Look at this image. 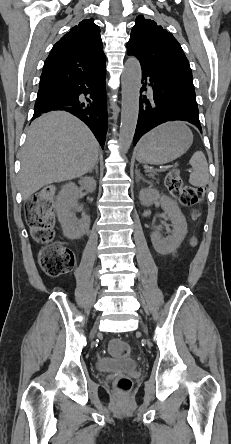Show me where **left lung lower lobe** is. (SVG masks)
Instances as JSON below:
<instances>
[{
    "instance_id": "0a47b994",
    "label": "left lung lower lobe",
    "mask_w": 231,
    "mask_h": 444,
    "mask_svg": "<svg viewBox=\"0 0 231 444\" xmlns=\"http://www.w3.org/2000/svg\"><path fill=\"white\" fill-rule=\"evenodd\" d=\"M140 93L151 87L149 97L140 95L139 118L133 144L142 135L166 121H188L201 129L194 88L178 83L173 76L152 69H142Z\"/></svg>"
}]
</instances>
